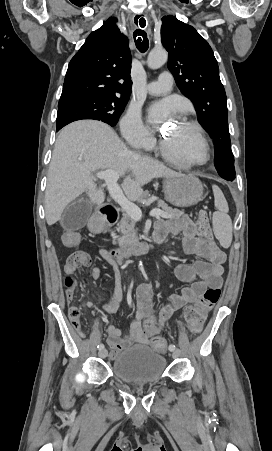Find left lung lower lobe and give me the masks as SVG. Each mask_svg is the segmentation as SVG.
I'll return each mask as SVG.
<instances>
[{
    "mask_svg": "<svg viewBox=\"0 0 272 451\" xmlns=\"http://www.w3.org/2000/svg\"><path fill=\"white\" fill-rule=\"evenodd\" d=\"M225 179L228 180V181L234 180V178H225Z\"/></svg>",
    "mask_w": 272,
    "mask_h": 451,
    "instance_id": "1",
    "label": "left lung lower lobe"
}]
</instances>
